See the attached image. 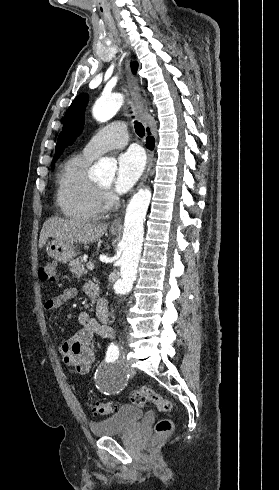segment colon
<instances>
[{"label":"colon","instance_id":"5ec220e1","mask_svg":"<svg viewBox=\"0 0 279 490\" xmlns=\"http://www.w3.org/2000/svg\"><path fill=\"white\" fill-rule=\"evenodd\" d=\"M41 280L55 281L57 279V263L51 260L44 264L39 272ZM131 402L137 407H145L148 403L157 405L160 412H170L172 403L168 398L156 393L152 388H143L131 393ZM91 411L99 416H106L115 411L114 403L110 401L95 400L90 403ZM173 429L172 420L170 418H161L157 421L156 431L158 442H169L170 432Z\"/></svg>","mask_w":279,"mask_h":490}]
</instances>
